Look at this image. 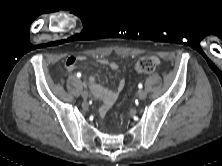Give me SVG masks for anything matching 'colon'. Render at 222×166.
<instances>
[{"label": "colon", "mask_w": 222, "mask_h": 166, "mask_svg": "<svg viewBox=\"0 0 222 166\" xmlns=\"http://www.w3.org/2000/svg\"><path fill=\"white\" fill-rule=\"evenodd\" d=\"M157 65V60L154 57L144 56L137 60L135 69L139 73H152Z\"/></svg>", "instance_id": "obj_1"}]
</instances>
